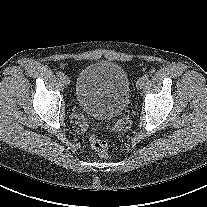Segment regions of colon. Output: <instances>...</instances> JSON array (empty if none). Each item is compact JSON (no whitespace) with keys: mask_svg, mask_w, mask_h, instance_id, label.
Returning <instances> with one entry per match:
<instances>
[{"mask_svg":"<svg viewBox=\"0 0 207 207\" xmlns=\"http://www.w3.org/2000/svg\"><path fill=\"white\" fill-rule=\"evenodd\" d=\"M90 145L93 151L100 157H108L110 154L109 145L107 142L92 135L90 138Z\"/></svg>","mask_w":207,"mask_h":207,"instance_id":"1","label":"colon"}]
</instances>
